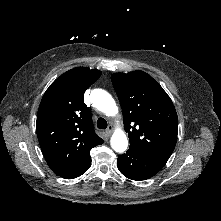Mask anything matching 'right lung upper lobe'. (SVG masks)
I'll return each instance as SVG.
<instances>
[{
    "mask_svg": "<svg viewBox=\"0 0 221 221\" xmlns=\"http://www.w3.org/2000/svg\"><path fill=\"white\" fill-rule=\"evenodd\" d=\"M101 71L77 67L57 78L45 92L37 114V135L51 170L64 176L90 160L104 140L94 131L84 93Z\"/></svg>",
    "mask_w": 221,
    "mask_h": 221,
    "instance_id": "1",
    "label": "right lung upper lobe"
}]
</instances>
